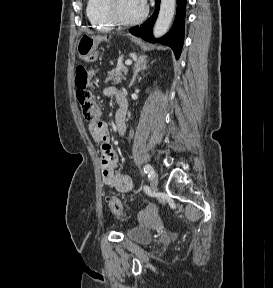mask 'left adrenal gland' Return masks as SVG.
<instances>
[{
  "label": "left adrenal gland",
  "instance_id": "left-adrenal-gland-1",
  "mask_svg": "<svg viewBox=\"0 0 273 288\" xmlns=\"http://www.w3.org/2000/svg\"><path fill=\"white\" fill-rule=\"evenodd\" d=\"M145 69H147V59L142 58V59H139L138 61H136V63L134 64V68H133V70H134L133 71V78L129 84V87H131L134 84V82L138 76V73L140 71L145 70Z\"/></svg>",
  "mask_w": 273,
  "mask_h": 288
}]
</instances>
